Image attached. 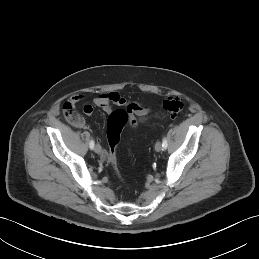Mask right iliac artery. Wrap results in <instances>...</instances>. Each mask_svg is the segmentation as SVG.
Returning <instances> with one entry per match:
<instances>
[{"instance_id":"right-iliac-artery-1","label":"right iliac artery","mask_w":259,"mask_h":259,"mask_svg":"<svg viewBox=\"0 0 259 259\" xmlns=\"http://www.w3.org/2000/svg\"><path fill=\"white\" fill-rule=\"evenodd\" d=\"M94 145H95V144H94V141L91 140L90 143H89L90 148L93 149V148H94Z\"/></svg>"}]
</instances>
